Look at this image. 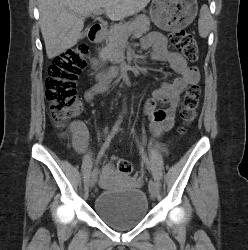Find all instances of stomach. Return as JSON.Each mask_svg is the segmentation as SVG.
I'll use <instances>...</instances> for the list:
<instances>
[{"mask_svg": "<svg viewBox=\"0 0 248 250\" xmlns=\"http://www.w3.org/2000/svg\"><path fill=\"white\" fill-rule=\"evenodd\" d=\"M197 12V0H152L149 15L158 28L173 31L190 25Z\"/></svg>", "mask_w": 248, "mask_h": 250, "instance_id": "0dacf381", "label": "stomach"}]
</instances>
